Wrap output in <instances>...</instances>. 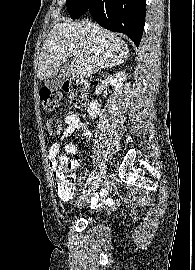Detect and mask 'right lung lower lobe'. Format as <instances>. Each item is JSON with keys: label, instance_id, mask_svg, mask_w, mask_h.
Wrapping results in <instances>:
<instances>
[{"label": "right lung lower lobe", "instance_id": "right-lung-lower-lobe-1", "mask_svg": "<svg viewBox=\"0 0 195 270\" xmlns=\"http://www.w3.org/2000/svg\"><path fill=\"white\" fill-rule=\"evenodd\" d=\"M146 0H89L87 12L104 28L126 34L136 45L145 23Z\"/></svg>", "mask_w": 195, "mask_h": 270}]
</instances>
